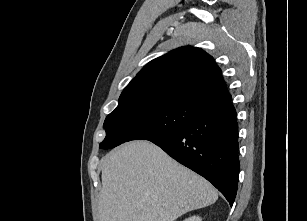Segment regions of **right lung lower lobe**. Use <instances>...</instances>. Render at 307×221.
<instances>
[{
    "label": "right lung lower lobe",
    "mask_w": 307,
    "mask_h": 221,
    "mask_svg": "<svg viewBox=\"0 0 307 221\" xmlns=\"http://www.w3.org/2000/svg\"><path fill=\"white\" fill-rule=\"evenodd\" d=\"M149 141L211 182L232 206L238 187V124L231 100L207 108L185 127Z\"/></svg>",
    "instance_id": "1"
}]
</instances>
